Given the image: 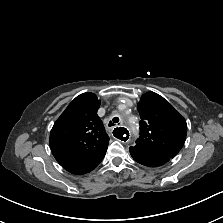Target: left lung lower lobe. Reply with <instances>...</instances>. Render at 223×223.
I'll list each match as a JSON object with an SVG mask.
<instances>
[{"label":"left lung lower lobe","instance_id":"1","mask_svg":"<svg viewBox=\"0 0 223 223\" xmlns=\"http://www.w3.org/2000/svg\"><path fill=\"white\" fill-rule=\"evenodd\" d=\"M130 154L133 159L148 167H158L170 160V157L139 148L138 146L130 147Z\"/></svg>","mask_w":223,"mask_h":223}]
</instances>
